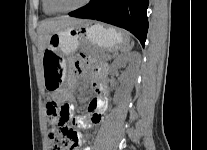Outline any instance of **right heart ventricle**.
I'll use <instances>...</instances> for the list:
<instances>
[{
  "instance_id": "right-heart-ventricle-1",
  "label": "right heart ventricle",
  "mask_w": 207,
  "mask_h": 150,
  "mask_svg": "<svg viewBox=\"0 0 207 150\" xmlns=\"http://www.w3.org/2000/svg\"><path fill=\"white\" fill-rule=\"evenodd\" d=\"M42 7H43V11L45 14L47 15H55L56 12L54 10H52V8L49 5L48 0H42Z\"/></svg>"
}]
</instances>
